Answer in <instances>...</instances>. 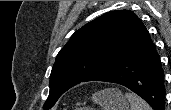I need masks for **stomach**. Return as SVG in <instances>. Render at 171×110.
Wrapping results in <instances>:
<instances>
[{"instance_id": "0dacf381", "label": "stomach", "mask_w": 171, "mask_h": 110, "mask_svg": "<svg viewBox=\"0 0 171 110\" xmlns=\"http://www.w3.org/2000/svg\"><path fill=\"white\" fill-rule=\"evenodd\" d=\"M102 110H129V103L120 90L108 88L95 93L92 97Z\"/></svg>"}]
</instances>
